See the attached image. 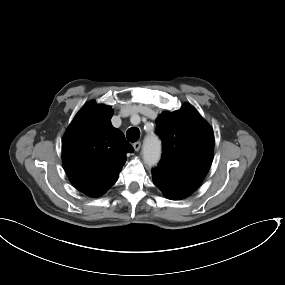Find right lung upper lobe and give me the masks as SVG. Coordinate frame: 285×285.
Segmentation results:
<instances>
[{"instance_id": "right-lung-upper-lobe-1", "label": "right lung upper lobe", "mask_w": 285, "mask_h": 285, "mask_svg": "<svg viewBox=\"0 0 285 285\" xmlns=\"http://www.w3.org/2000/svg\"><path fill=\"white\" fill-rule=\"evenodd\" d=\"M110 106L86 104L69 125L62 140L65 172L79 191L97 197L113 186L134 151L123 133L111 124Z\"/></svg>"}]
</instances>
